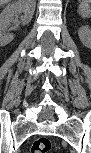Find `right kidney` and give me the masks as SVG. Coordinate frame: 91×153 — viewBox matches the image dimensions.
I'll use <instances>...</instances> for the list:
<instances>
[{
  "mask_svg": "<svg viewBox=\"0 0 91 153\" xmlns=\"http://www.w3.org/2000/svg\"><path fill=\"white\" fill-rule=\"evenodd\" d=\"M35 3L30 0H19L8 4L0 14V45L6 46L13 39L14 36L9 32L11 24H18V17L21 13V22L23 24H28L34 14Z\"/></svg>",
  "mask_w": 91,
  "mask_h": 153,
  "instance_id": "obj_1",
  "label": "right kidney"
}]
</instances>
